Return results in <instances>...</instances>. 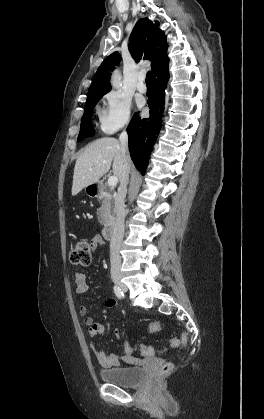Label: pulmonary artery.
Returning <instances> with one entry per match:
<instances>
[{"label": "pulmonary artery", "mask_w": 264, "mask_h": 419, "mask_svg": "<svg viewBox=\"0 0 264 419\" xmlns=\"http://www.w3.org/2000/svg\"><path fill=\"white\" fill-rule=\"evenodd\" d=\"M137 90L141 93H145L147 91V86L145 84V74L144 73H140L139 76H138Z\"/></svg>", "instance_id": "1"}]
</instances>
